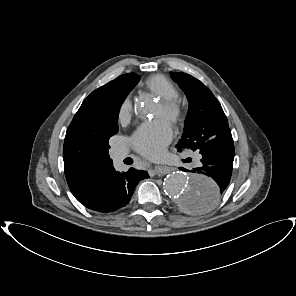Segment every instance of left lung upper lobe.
Here are the masks:
<instances>
[{
    "label": "left lung upper lobe",
    "instance_id": "5c2ea615",
    "mask_svg": "<svg viewBox=\"0 0 296 296\" xmlns=\"http://www.w3.org/2000/svg\"><path fill=\"white\" fill-rule=\"evenodd\" d=\"M189 100L184 133L177 150L190 148L200 154L207 150L209 141L230 130L224 111L213 93L198 79L183 72H170ZM193 201L189 199L185 207Z\"/></svg>",
    "mask_w": 296,
    "mask_h": 296
}]
</instances>
